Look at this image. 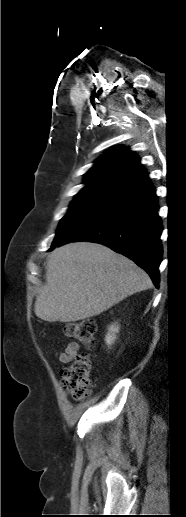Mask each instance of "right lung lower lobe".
<instances>
[{"label":"right lung lower lobe","mask_w":186,"mask_h":517,"mask_svg":"<svg viewBox=\"0 0 186 517\" xmlns=\"http://www.w3.org/2000/svg\"><path fill=\"white\" fill-rule=\"evenodd\" d=\"M158 209L155 188L149 186L116 202L50 251L75 241L100 243L133 260L158 287L163 256Z\"/></svg>","instance_id":"right-lung-lower-lobe-1"}]
</instances>
